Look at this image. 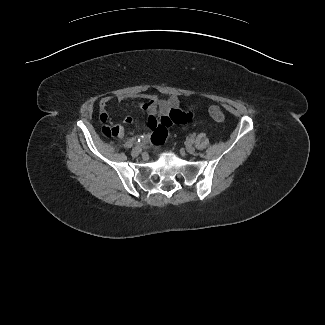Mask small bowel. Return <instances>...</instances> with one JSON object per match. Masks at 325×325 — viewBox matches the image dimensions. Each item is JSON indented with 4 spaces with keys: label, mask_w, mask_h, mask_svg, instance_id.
<instances>
[{
    "label": "small bowel",
    "mask_w": 325,
    "mask_h": 325,
    "mask_svg": "<svg viewBox=\"0 0 325 325\" xmlns=\"http://www.w3.org/2000/svg\"><path fill=\"white\" fill-rule=\"evenodd\" d=\"M131 96L117 95L116 99L119 102L126 101ZM113 97L110 95L104 96L100 100V121L104 125L103 133L106 129H116L115 136H123V125H129L133 122L131 116L124 117L120 122H113L109 114V104L112 102ZM180 102L176 96H170L167 98H158L153 95H144L142 101L139 102L138 107L147 113L145 120V128L148 133L146 138L151 137V140L155 144H162L165 142L169 128L173 124H185L189 122L193 117V111L178 110ZM105 134V133H104Z\"/></svg>",
    "instance_id": "c3829d8e"
}]
</instances>
